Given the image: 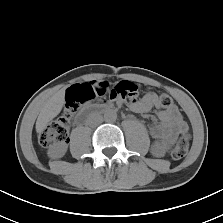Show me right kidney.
<instances>
[{
  "label": "right kidney",
  "instance_id": "ca27d5eb",
  "mask_svg": "<svg viewBox=\"0 0 223 223\" xmlns=\"http://www.w3.org/2000/svg\"><path fill=\"white\" fill-rule=\"evenodd\" d=\"M66 151L67 145L64 142H58L49 149L48 155L51 158H60L65 155Z\"/></svg>",
  "mask_w": 223,
  "mask_h": 223
}]
</instances>
